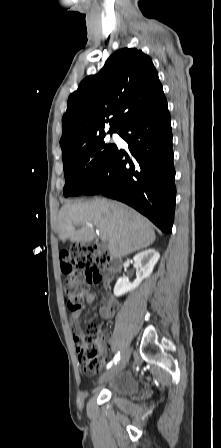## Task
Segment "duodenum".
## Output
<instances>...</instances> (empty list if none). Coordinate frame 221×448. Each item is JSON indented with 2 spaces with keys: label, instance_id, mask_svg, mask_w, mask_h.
I'll return each mask as SVG.
<instances>
[{
  "label": "duodenum",
  "instance_id": "obj_1",
  "mask_svg": "<svg viewBox=\"0 0 221 448\" xmlns=\"http://www.w3.org/2000/svg\"><path fill=\"white\" fill-rule=\"evenodd\" d=\"M121 267H122L121 260L118 257L113 255L110 258V263H109V274H110V276L111 277L115 276L121 270Z\"/></svg>",
  "mask_w": 221,
  "mask_h": 448
}]
</instances>
